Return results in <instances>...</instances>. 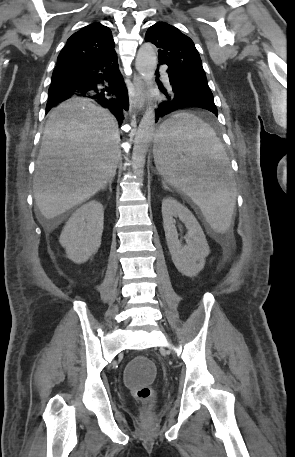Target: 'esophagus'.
Returning a JSON list of instances; mask_svg holds the SVG:
<instances>
[{"mask_svg": "<svg viewBox=\"0 0 295 457\" xmlns=\"http://www.w3.org/2000/svg\"><path fill=\"white\" fill-rule=\"evenodd\" d=\"M134 94L130 96V107L143 109L145 103L144 84L139 76L133 80Z\"/></svg>", "mask_w": 295, "mask_h": 457, "instance_id": "esophagus-1", "label": "esophagus"}]
</instances>
